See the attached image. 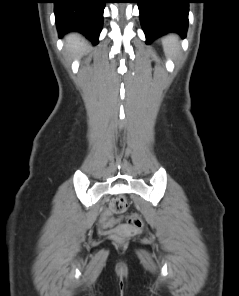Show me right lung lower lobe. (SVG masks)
Returning <instances> with one entry per match:
<instances>
[{
	"mask_svg": "<svg viewBox=\"0 0 239 296\" xmlns=\"http://www.w3.org/2000/svg\"><path fill=\"white\" fill-rule=\"evenodd\" d=\"M59 36L77 31L97 43L106 0H53Z\"/></svg>",
	"mask_w": 239,
	"mask_h": 296,
	"instance_id": "right-lung-lower-lobe-1",
	"label": "right lung lower lobe"
}]
</instances>
